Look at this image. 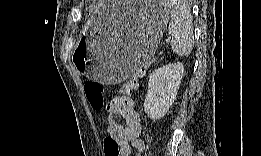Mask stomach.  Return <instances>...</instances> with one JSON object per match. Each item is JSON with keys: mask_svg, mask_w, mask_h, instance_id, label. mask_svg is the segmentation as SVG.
<instances>
[{"mask_svg": "<svg viewBox=\"0 0 261 156\" xmlns=\"http://www.w3.org/2000/svg\"><path fill=\"white\" fill-rule=\"evenodd\" d=\"M117 8L120 3H105ZM166 2L140 1L132 13L115 18L93 15L75 51L74 62L84 74L103 84L122 82L154 55L167 26Z\"/></svg>", "mask_w": 261, "mask_h": 156, "instance_id": "0dacf381", "label": "stomach"}]
</instances>
